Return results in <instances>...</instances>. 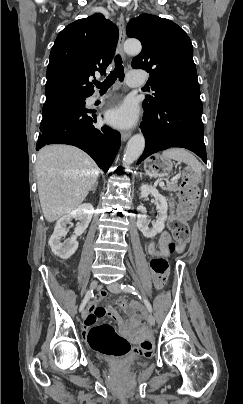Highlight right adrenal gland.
Returning <instances> with one entry per match:
<instances>
[{
	"mask_svg": "<svg viewBox=\"0 0 243 404\" xmlns=\"http://www.w3.org/2000/svg\"><path fill=\"white\" fill-rule=\"evenodd\" d=\"M97 186H98V182H95V184H94V186H92L91 190H93V192H95Z\"/></svg>",
	"mask_w": 243,
	"mask_h": 404,
	"instance_id": "1",
	"label": "right adrenal gland"
}]
</instances>
